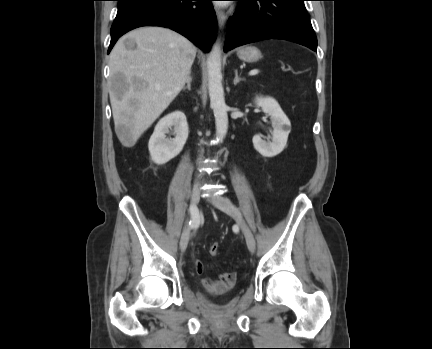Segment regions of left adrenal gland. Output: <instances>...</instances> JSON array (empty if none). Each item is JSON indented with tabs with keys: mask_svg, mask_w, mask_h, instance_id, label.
Masks as SVG:
<instances>
[{
	"mask_svg": "<svg viewBox=\"0 0 432 349\" xmlns=\"http://www.w3.org/2000/svg\"><path fill=\"white\" fill-rule=\"evenodd\" d=\"M240 81H244V79L243 78H240L239 76H238V71L237 70H235V78H234V85H237Z\"/></svg>",
	"mask_w": 432,
	"mask_h": 349,
	"instance_id": "a2214340",
	"label": "left adrenal gland"
}]
</instances>
